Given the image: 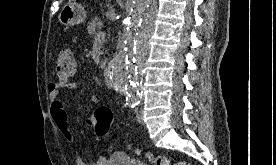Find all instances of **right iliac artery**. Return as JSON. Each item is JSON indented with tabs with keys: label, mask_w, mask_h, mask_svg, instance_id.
Masks as SVG:
<instances>
[{
	"label": "right iliac artery",
	"mask_w": 276,
	"mask_h": 165,
	"mask_svg": "<svg viewBox=\"0 0 276 165\" xmlns=\"http://www.w3.org/2000/svg\"><path fill=\"white\" fill-rule=\"evenodd\" d=\"M139 102L137 100H129L126 105H128L129 107L133 108L135 107Z\"/></svg>",
	"instance_id": "1"
}]
</instances>
